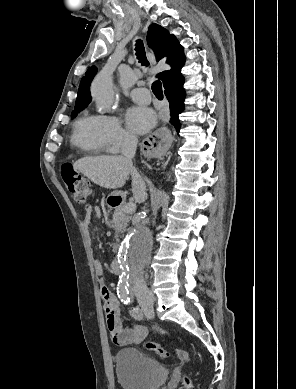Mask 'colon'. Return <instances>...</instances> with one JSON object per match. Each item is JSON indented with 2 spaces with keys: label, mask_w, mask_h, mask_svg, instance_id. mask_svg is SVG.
<instances>
[{
  "label": "colon",
  "mask_w": 296,
  "mask_h": 389,
  "mask_svg": "<svg viewBox=\"0 0 296 389\" xmlns=\"http://www.w3.org/2000/svg\"><path fill=\"white\" fill-rule=\"evenodd\" d=\"M61 176L66 187L73 195L75 201L81 204L85 203L89 196V184L86 179L77 171H75V169L70 164H64L61 167ZM146 347L149 350L154 351L160 357L165 358L169 355V351L159 344L148 342ZM174 354L182 362H187L189 360V354L184 350L175 349ZM184 382L187 387L190 386V380L188 377L184 378Z\"/></svg>",
  "instance_id": "5ec220e1"
}]
</instances>
